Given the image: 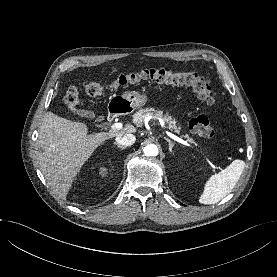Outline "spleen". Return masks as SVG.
<instances>
[{"instance_id":"spleen-1","label":"spleen","mask_w":277,"mask_h":277,"mask_svg":"<svg viewBox=\"0 0 277 277\" xmlns=\"http://www.w3.org/2000/svg\"><path fill=\"white\" fill-rule=\"evenodd\" d=\"M244 167L245 163L243 160H234L224 170L212 175L205 184L199 202L202 204H215L223 199L237 184Z\"/></svg>"}]
</instances>
